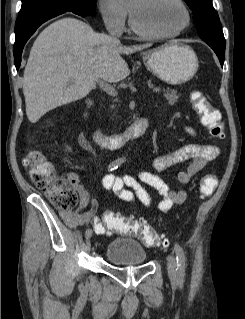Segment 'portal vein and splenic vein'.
Listing matches in <instances>:
<instances>
[{
    "mask_svg": "<svg viewBox=\"0 0 245 319\" xmlns=\"http://www.w3.org/2000/svg\"><path fill=\"white\" fill-rule=\"evenodd\" d=\"M100 86L102 87V89L107 92L108 94L112 95V96H116L117 95V91L114 87H112L111 85L105 83V82H101L100 83ZM162 91V88L161 87H154L152 89V92L153 93H159Z\"/></svg>",
    "mask_w": 245,
    "mask_h": 319,
    "instance_id": "1",
    "label": "portal vein and splenic vein"
}]
</instances>
